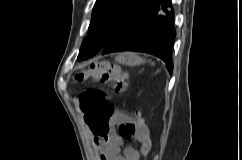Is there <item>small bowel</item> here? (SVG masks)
Segmentation results:
<instances>
[{"label":"small bowel","instance_id":"obj_1","mask_svg":"<svg viewBox=\"0 0 242 160\" xmlns=\"http://www.w3.org/2000/svg\"><path fill=\"white\" fill-rule=\"evenodd\" d=\"M114 119L104 135H96L94 142L100 153V160H140L151 148V139L145 122L136 120L123 112H115ZM118 128L115 129L114 126ZM133 127L131 139L139 143V147L128 145L123 147L124 132L122 128ZM127 133V131H126Z\"/></svg>","mask_w":242,"mask_h":160}]
</instances>
